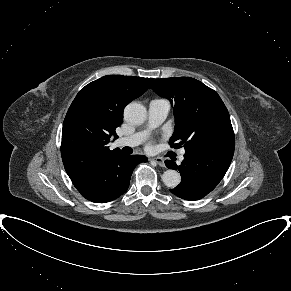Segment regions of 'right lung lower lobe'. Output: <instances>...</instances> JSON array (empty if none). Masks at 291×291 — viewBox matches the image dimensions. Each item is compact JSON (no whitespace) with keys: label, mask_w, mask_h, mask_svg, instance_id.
Returning <instances> with one entry per match:
<instances>
[{"label":"right lung lower lobe","mask_w":291,"mask_h":291,"mask_svg":"<svg viewBox=\"0 0 291 291\" xmlns=\"http://www.w3.org/2000/svg\"><path fill=\"white\" fill-rule=\"evenodd\" d=\"M148 159L143 155L118 152L106 158L76 189L89 201L105 203L124 194L135 166Z\"/></svg>","instance_id":"1"}]
</instances>
